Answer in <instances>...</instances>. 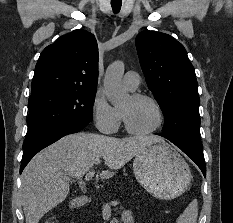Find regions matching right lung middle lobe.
Masks as SVG:
<instances>
[{
    "label": "right lung middle lobe",
    "mask_w": 233,
    "mask_h": 223,
    "mask_svg": "<svg viewBox=\"0 0 233 223\" xmlns=\"http://www.w3.org/2000/svg\"><path fill=\"white\" fill-rule=\"evenodd\" d=\"M96 89H51L31 94L24 149L62 124L92 121Z\"/></svg>",
    "instance_id": "dd1d6c3e"
}]
</instances>
